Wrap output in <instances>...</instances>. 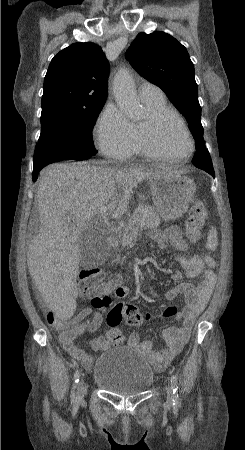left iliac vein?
I'll return each mask as SVG.
<instances>
[{"label": "left iliac vein", "mask_w": 245, "mask_h": 450, "mask_svg": "<svg viewBox=\"0 0 245 450\" xmlns=\"http://www.w3.org/2000/svg\"><path fill=\"white\" fill-rule=\"evenodd\" d=\"M168 402L171 403L173 399V388L171 384L166 387Z\"/></svg>", "instance_id": "obj_1"}]
</instances>
